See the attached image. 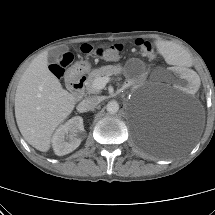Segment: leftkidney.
<instances>
[{
	"label": "left kidney",
	"instance_id": "1",
	"mask_svg": "<svg viewBox=\"0 0 215 215\" xmlns=\"http://www.w3.org/2000/svg\"><path fill=\"white\" fill-rule=\"evenodd\" d=\"M168 78L173 84L187 92H194L199 86V77L192 71L182 70L179 67H172L168 71Z\"/></svg>",
	"mask_w": 215,
	"mask_h": 215
}]
</instances>
